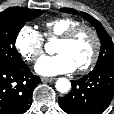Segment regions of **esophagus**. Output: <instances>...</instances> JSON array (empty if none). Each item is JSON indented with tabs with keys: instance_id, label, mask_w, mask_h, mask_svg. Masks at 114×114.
Here are the masks:
<instances>
[{
	"instance_id": "obj_1",
	"label": "esophagus",
	"mask_w": 114,
	"mask_h": 114,
	"mask_svg": "<svg viewBox=\"0 0 114 114\" xmlns=\"http://www.w3.org/2000/svg\"><path fill=\"white\" fill-rule=\"evenodd\" d=\"M41 80H42V82H53L55 80V78L42 77Z\"/></svg>"
}]
</instances>
